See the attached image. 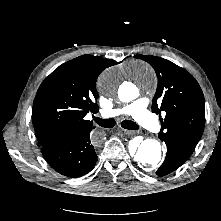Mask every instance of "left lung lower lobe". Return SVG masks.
Wrapping results in <instances>:
<instances>
[{
	"instance_id": "1",
	"label": "left lung lower lobe",
	"mask_w": 221,
	"mask_h": 221,
	"mask_svg": "<svg viewBox=\"0 0 221 221\" xmlns=\"http://www.w3.org/2000/svg\"><path fill=\"white\" fill-rule=\"evenodd\" d=\"M167 146V154L163 164L157 169L158 176H165L179 168L191 156L194 147L171 139L162 140Z\"/></svg>"
}]
</instances>
